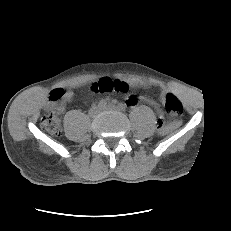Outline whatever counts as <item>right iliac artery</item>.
<instances>
[{"label":"right iliac artery","mask_w":231,"mask_h":231,"mask_svg":"<svg viewBox=\"0 0 231 231\" xmlns=\"http://www.w3.org/2000/svg\"><path fill=\"white\" fill-rule=\"evenodd\" d=\"M106 105H107V102H106L105 100H101V101L99 102V104H98V106L101 107V108L106 107Z\"/></svg>","instance_id":"1"}]
</instances>
